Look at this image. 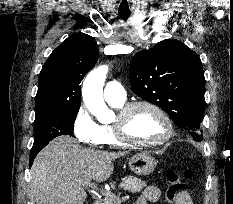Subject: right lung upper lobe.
<instances>
[{"instance_id": "cb5924a9", "label": "right lung upper lobe", "mask_w": 233, "mask_h": 204, "mask_svg": "<svg viewBox=\"0 0 233 204\" xmlns=\"http://www.w3.org/2000/svg\"><path fill=\"white\" fill-rule=\"evenodd\" d=\"M97 57V43L84 33L74 34L59 45L39 74L36 114L80 108L79 84Z\"/></svg>"}]
</instances>
